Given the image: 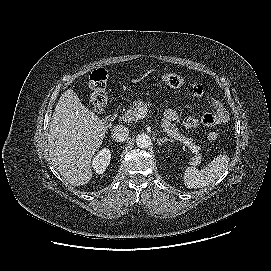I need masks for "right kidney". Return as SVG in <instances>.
<instances>
[{
	"label": "right kidney",
	"instance_id": "obj_1",
	"mask_svg": "<svg viewBox=\"0 0 271 271\" xmlns=\"http://www.w3.org/2000/svg\"><path fill=\"white\" fill-rule=\"evenodd\" d=\"M111 152L108 148L101 149L92 161V167L98 174H103L110 164Z\"/></svg>",
	"mask_w": 271,
	"mask_h": 271
}]
</instances>
